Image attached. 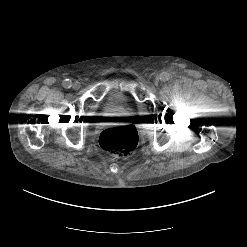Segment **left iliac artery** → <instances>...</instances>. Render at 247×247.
I'll return each mask as SVG.
<instances>
[{
    "label": "left iliac artery",
    "mask_w": 247,
    "mask_h": 247,
    "mask_svg": "<svg viewBox=\"0 0 247 247\" xmlns=\"http://www.w3.org/2000/svg\"><path fill=\"white\" fill-rule=\"evenodd\" d=\"M169 78H170V76H169V74L166 73V72H163V73L160 74V80H161V81H168Z\"/></svg>",
    "instance_id": "44dca946"
}]
</instances>
